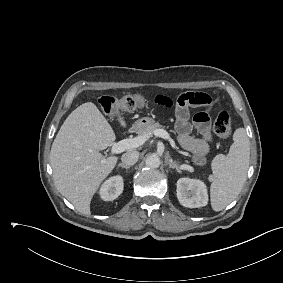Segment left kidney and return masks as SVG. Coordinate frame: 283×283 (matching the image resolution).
I'll use <instances>...</instances> for the list:
<instances>
[{
	"mask_svg": "<svg viewBox=\"0 0 283 283\" xmlns=\"http://www.w3.org/2000/svg\"><path fill=\"white\" fill-rule=\"evenodd\" d=\"M177 198L184 207L206 206L208 203L207 187L201 180L180 178L177 181Z\"/></svg>",
	"mask_w": 283,
	"mask_h": 283,
	"instance_id": "1",
	"label": "left kidney"
}]
</instances>
